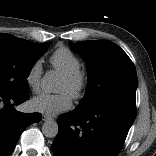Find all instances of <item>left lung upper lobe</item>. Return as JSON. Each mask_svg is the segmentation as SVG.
I'll list each match as a JSON object with an SVG mask.
<instances>
[{
  "label": "left lung upper lobe",
  "mask_w": 156,
  "mask_h": 156,
  "mask_svg": "<svg viewBox=\"0 0 156 156\" xmlns=\"http://www.w3.org/2000/svg\"><path fill=\"white\" fill-rule=\"evenodd\" d=\"M71 48L87 61L88 84L75 110L84 111L106 104L135 109L137 74L128 55L106 40L81 41Z\"/></svg>",
  "instance_id": "5c2ea615"
}]
</instances>
